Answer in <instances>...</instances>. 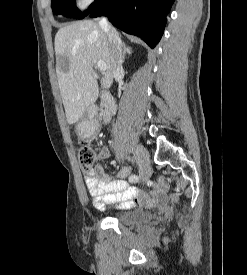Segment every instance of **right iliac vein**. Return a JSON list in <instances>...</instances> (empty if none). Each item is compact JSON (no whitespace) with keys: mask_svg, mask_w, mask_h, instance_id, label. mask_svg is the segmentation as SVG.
Instances as JSON below:
<instances>
[{"mask_svg":"<svg viewBox=\"0 0 247 275\" xmlns=\"http://www.w3.org/2000/svg\"><path fill=\"white\" fill-rule=\"evenodd\" d=\"M134 152L135 154L139 157V168H140V179L141 180H146L149 177L150 174V170H149V166H148V159H149V155L147 153V151L140 146H137L134 148Z\"/></svg>","mask_w":247,"mask_h":275,"instance_id":"1","label":"right iliac vein"}]
</instances>
